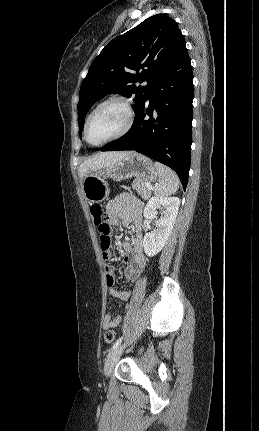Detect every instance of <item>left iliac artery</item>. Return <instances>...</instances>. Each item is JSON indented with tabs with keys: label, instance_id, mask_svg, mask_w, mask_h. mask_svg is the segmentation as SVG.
Instances as JSON below:
<instances>
[{
	"label": "left iliac artery",
	"instance_id": "44dca946",
	"mask_svg": "<svg viewBox=\"0 0 259 431\" xmlns=\"http://www.w3.org/2000/svg\"><path fill=\"white\" fill-rule=\"evenodd\" d=\"M123 337H120L116 340V342L113 344V346L111 347V349L109 350V353H111L112 351H114L122 342Z\"/></svg>",
	"mask_w": 259,
	"mask_h": 431
}]
</instances>
